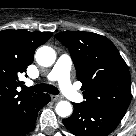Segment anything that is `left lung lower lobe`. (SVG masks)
<instances>
[{
  "label": "left lung lower lobe",
  "mask_w": 136,
  "mask_h": 136,
  "mask_svg": "<svg viewBox=\"0 0 136 136\" xmlns=\"http://www.w3.org/2000/svg\"><path fill=\"white\" fill-rule=\"evenodd\" d=\"M73 114L63 119L66 128L76 136H107L121 121L124 113L93 107L84 103H73Z\"/></svg>",
  "instance_id": "0a47b994"
}]
</instances>
